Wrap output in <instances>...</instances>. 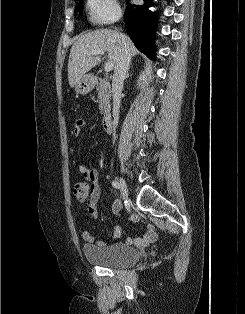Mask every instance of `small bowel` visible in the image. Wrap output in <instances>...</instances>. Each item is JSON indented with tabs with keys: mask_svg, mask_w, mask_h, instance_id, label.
Here are the masks:
<instances>
[{
	"mask_svg": "<svg viewBox=\"0 0 245 314\" xmlns=\"http://www.w3.org/2000/svg\"><path fill=\"white\" fill-rule=\"evenodd\" d=\"M85 126V121L80 119L77 120L73 132L75 135H79L82 128ZM78 171L82 175L83 179L90 183L91 186V197L89 201L87 202V209L89 214L93 218H97L99 216V211L97 209V202L100 197V186L98 184V170L96 168L95 163H92L90 166H87L85 164H79L78 165ZM121 208V204L119 201H116L113 205V212L118 213V211ZM138 215H133V218L136 219L138 218ZM121 235V228L119 226H114L113 227V234L112 238H118ZM82 238L89 243H94L95 242V236L90 232L89 230H85L82 233ZM157 239V234L155 232V229L152 225H149V230L142 234L141 236L137 238H132V237H127L126 238V243L128 245H134V246H147L153 242H155ZM99 245L105 244L104 241H98L97 242Z\"/></svg>",
	"mask_w": 245,
	"mask_h": 314,
	"instance_id": "c3829d8e",
	"label": "small bowel"
}]
</instances>
